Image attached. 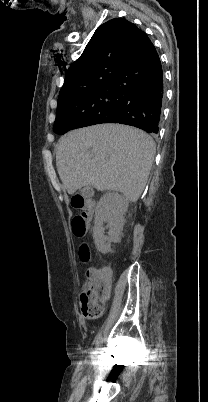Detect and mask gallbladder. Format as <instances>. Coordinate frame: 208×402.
<instances>
[{
	"label": "gallbladder",
	"instance_id": "gallbladder-1",
	"mask_svg": "<svg viewBox=\"0 0 208 402\" xmlns=\"http://www.w3.org/2000/svg\"><path fill=\"white\" fill-rule=\"evenodd\" d=\"M94 192L95 189L93 186H86L85 189L83 190L82 196L84 199H91Z\"/></svg>",
	"mask_w": 208,
	"mask_h": 402
}]
</instances>
